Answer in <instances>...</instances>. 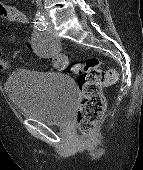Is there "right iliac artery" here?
<instances>
[{"label": "right iliac artery", "mask_w": 143, "mask_h": 170, "mask_svg": "<svg viewBox=\"0 0 143 170\" xmlns=\"http://www.w3.org/2000/svg\"><path fill=\"white\" fill-rule=\"evenodd\" d=\"M35 27L40 30V31H44L46 30L47 28V25L48 23L45 21V18L44 16H38L36 19H35Z\"/></svg>", "instance_id": "right-iliac-artery-1"}]
</instances>
